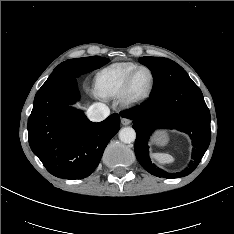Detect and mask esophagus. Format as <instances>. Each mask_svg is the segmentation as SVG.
Wrapping results in <instances>:
<instances>
[{"mask_svg": "<svg viewBox=\"0 0 234 234\" xmlns=\"http://www.w3.org/2000/svg\"><path fill=\"white\" fill-rule=\"evenodd\" d=\"M121 123L123 125H129L131 123V120L129 118L125 117V116H122L121 117Z\"/></svg>", "mask_w": 234, "mask_h": 234, "instance_id": "obj_1", "label": "esophagus"}]
</instances>
